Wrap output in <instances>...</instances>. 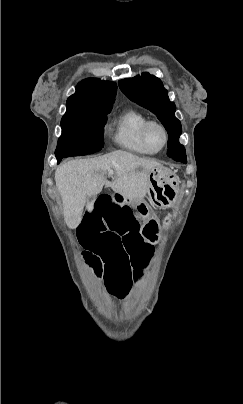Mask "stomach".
I'll return each instance as SVG.
<instances>
[{
  "label": "stomach",
  "instance_id": "stomach-1",
  "mask_svg": "<svg viewBox=\"0 0 243 404\" xmlns=\"http://www.w3.org/2000/svg\"><path fill=\"white\" fill-rule=\"evenodd\" d=\"M177 187L178 179L168 168L157 166L150 171L147 194L154 206L160 208L168 206L175 198ZM132 204L144 220L141 236L150 244L156 243L160 231L159 220L144 201L134 200ZM169 222L166 218L164 225L168 226Z\"/></svg>",
  "mask_w": 243,
  "mask_h": 404
}]
</instances>
